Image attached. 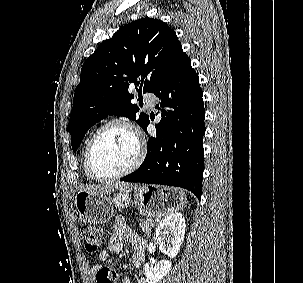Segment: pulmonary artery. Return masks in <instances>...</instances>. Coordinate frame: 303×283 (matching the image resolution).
Returning <instances> with one entry per match:
<instances>
[{
    "label": "pulmonary artery",
    "mask_w": 303,
    "mask_h": 283,
    "mask_svg": "<svg viewBox=\"0 0 303 283\" xmlns=\"http://www.w3.org/2000/svg\"><path fill=\"white\" fill-rule=\"evenodd\" d=\"M145 103L149 107H154L156 102V97L153 93H145Z\"/></svg>",
    "instance_id": "obj_1"
}]
</instances>
